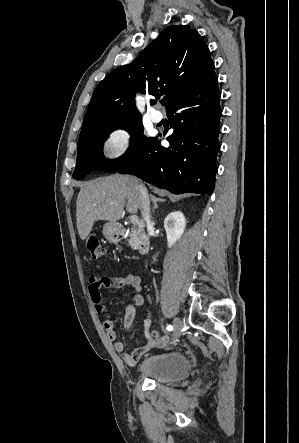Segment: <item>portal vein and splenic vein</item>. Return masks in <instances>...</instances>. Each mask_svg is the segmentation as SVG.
I'll use <instances>...</instances> for the list:
<instances>
[{
    "instance_id": "portal-vein-and-splenic-vein-1",
    "label": "portal vein and splenic vein",
    "mask_w": 299,
    "mask_h": 443,
    "mask_svg": "<svg viewBox=\"0 0 299 443\" xmlns=\"http://www.w3.org/2000/svg\"><path fill=\"white\" fill-rule=\"evenodd\" d=\"M130 221H131L132 224H138V223H139V219H138V217L135 216V215H132V216L130 217Z\"/></svg>"
}]
</instances>
